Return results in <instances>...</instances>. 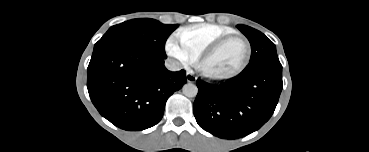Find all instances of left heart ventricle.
I'll return each mask as SVG.
<instances>
[{
  "instance_id": "1",
  "label": "left heart ventricle",
  "mask_w": 369,
  "mask_h": 152,
  "mask_svg": "<svg viewBox=\"0 0 369 152\" xmlns=\"http://www.w3.org/2000/svg\"><path fill=\"white\" fill-rule=\"evenodd\" d=\"M246 55V46L240 39H233L222 46L204 64L207 71L224 75L236 70Z\"/></svg>"
}]
</instances>
